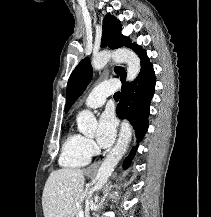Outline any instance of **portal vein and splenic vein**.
<instances>
[{
	"instance_id": "portal-vein-and-splenic-vein-1",
	"label": "portal vein and splenic vein",
	"mask_w": 211,
	"mask_h": 217,
	"mask_svg": "<svg viewBox=\"0 0 211 217\" xmlns=\"http://www.w3.org/2000/svg\"><path fill=\"white\" fill-rule=\"evenodd\" d=\"M79 217H84V212H83V210H80V212H79Z\"/></svg>"
}]
</instances>
